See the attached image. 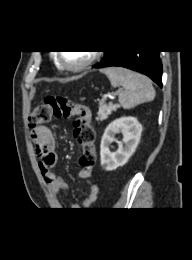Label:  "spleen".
I'll return each instance as SVG.
<instances>
[{"label": "spleen", "mask_w": 192, "mask_h": 260, "mask_svg": "<svg viewBox=\"0 0 192 260\" xmlns=\"http://www.w3.org/2000/svg\"><path fill=\"white\" fill-rule=\"evenodd\" d=\"M100 71L106 74L113 87H123L119 103L124 109L154 100L155 90L148 77L122 67H109Z\"/></svg>", "instance_id": "obj_1"}]
</instances>
